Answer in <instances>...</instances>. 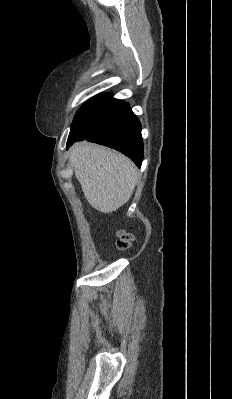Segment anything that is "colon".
<instances>
[{"mask_svg": "<svg viewBox=\"0 0 232 399\" xmlns=\"http://www.w3.org/2000/svg\"><path fill=\"white\" fill-rule=\"evenodd\" d=\"M131 239H134V234L126 233L125 238V233H121L120 229L116 230V244H118L117 248L120 249L121 252H124L125 249L131 246Z\"/></svg>", "mask_w": 232, "mask_h": 399, "instance_id": "obj_1", "label": "colon"}]
</instances>
